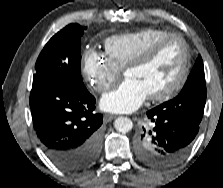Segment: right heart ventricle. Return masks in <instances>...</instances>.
<instances>
[{"mask_svg": "<svg viewBox=\"0 0 223 188\" xmlns=\"http://www.w3.org/2000/svg\"><path fill=\"white\" fill-rule=\"evenodd\" d=\"M168 33L166 30L150 27L114 35L105 41V51L118 68H124L140 51Z\"/></svg>", "mask_w": 223, "mask_h": 188, "instance_id": "1", "label": "right heart ventricle"}]
</instances>
